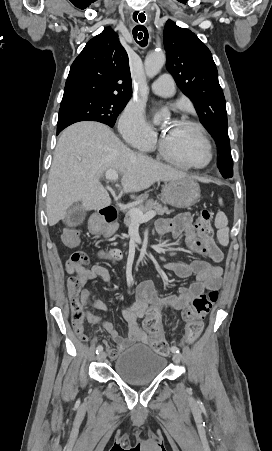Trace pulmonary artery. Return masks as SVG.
<instances>
[{"label":"pulmonary artery","instance_id":"obj_1","mask_svg":"<svg viewBox=\"0 0 272 451\" xmlns=\"http://www.w3.org/2000/svg\"><path fill=\"white\" fill-rule=\"evenodd\" d=\"M153 93L169 98L175 93V82L171 75H162L151 86Z\"/></svg>","mask_w":272,"mask_h":451}]
</instances>
